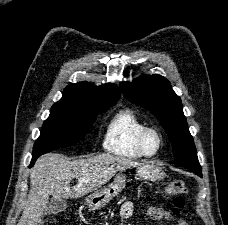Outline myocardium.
<instances>
[{"mask_svg": "<svg viewBox=\"0 0 228 225\" xmlns=\"http://www.w3.org/2000/svg\"><path fill=\"white\" fill-rule=\"evenodd\" d=\"M152 135H154L157 140V146L154 151H150L148 148V142ZM139 145H140L141 150L147 156H149V157L156 156L163 147V135L160 132V130H158L157 128L148 126L141 132V134L139 136Z\"/></svg>", "mask_w": 228, "mask_h": 225, "instance_id": "obj_1", "label": "myocardium"}]
</instances>
